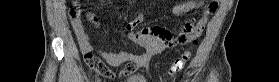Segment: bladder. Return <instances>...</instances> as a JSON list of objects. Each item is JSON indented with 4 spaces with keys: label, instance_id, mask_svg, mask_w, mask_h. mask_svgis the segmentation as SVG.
Instances as JSON below:
<instances>
[{
    "label": "bladder",
    "instance_id": "bladder-1",
    "mask_svg": "<svg viewBox=\"0 0 279 82\" xmlns=\"http://www.w3.org/2000/svg\"><path fill=\"white\" fill-rule=\"evenodd\" d=\"M126 82H146V78L142 74H131L125 80Z\"/></svg>",
    "mask_w": 279,
    "mask_h": 82
}]
</instances>
